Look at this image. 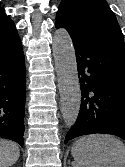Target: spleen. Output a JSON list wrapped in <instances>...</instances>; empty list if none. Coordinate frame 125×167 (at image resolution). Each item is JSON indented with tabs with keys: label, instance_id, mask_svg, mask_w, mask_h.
Returning a JSON list of instances; mask_svg holds the SVG:
<instances>
[{
	"label": "spleen",
	"instance_id": "3e777b00",
	"mask_svg": "<svg viewBox=\"0 0 125 167\" xmlns=\"http://www.w3.org/2000/svg\"><path fill=\"white\" fill-rule=\"evenodd\" d=\"M71 153L79 167H125V146L110 135L82 136L73 143Z\"/></svg>",
	"mask_w": 125,
	"mask_h": 167
}]
</instances>
